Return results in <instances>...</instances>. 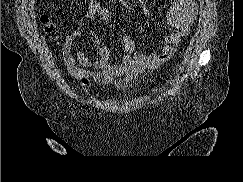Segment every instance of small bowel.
<instances>
[{"mask_svg": "<svg viewBox=\"0 0 243 182\" xmlns=\"http://www.w3.org/2000/svg\"><path fill=\"white\" fill-rule=\"evenodd\" d=\"M197 16V6L193 0H172L165 12L166 23L171 34L164 39L160 50L153 54H143L136 50L134 40L122 37L123 56L117 62L110 61L108 49L98 41L99 57L88 59L78 45L81 31L75 30L66 38L64 59L68 73L81 84L113 85L123 90L130 80L137 81L146 71L155 70L168 60L181 40L189 34L190 27ZM111 12L101 7L97 0H91L86 8L85 19L107 20ZM94 37L95 34H93Z\"/></svg>", "mask_w": 243, "mask_h": 182, "instance_id": "c3829d8e", "label": "small bowel"}]
</instances>
